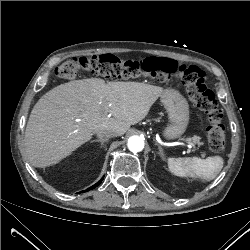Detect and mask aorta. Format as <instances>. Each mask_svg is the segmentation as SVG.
<instances>
[{"label": "aorta", "instance_id": "1", "mask_svg": "<svg viewBox=\"0 0 250 250\" xmlns=\"http://www.w3.org/2000/svg\"><path fill=\"white\" fill-rule=\"evenodd\" d=\"M128 148L132 152H140L144 148V140L139 136H131L128 139Z\"/></svg>", "mask_w": 250, "mask_h": 250}]
</instances>
